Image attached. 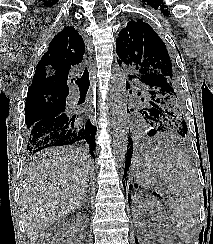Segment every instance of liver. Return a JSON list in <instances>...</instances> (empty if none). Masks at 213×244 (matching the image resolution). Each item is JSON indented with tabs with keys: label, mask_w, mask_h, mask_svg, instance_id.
<instances>
[{
	"label": "liver",
	"mask_w": 213,
	"mask_h": 244,
	"mask_svg": "<svg viewBox=\"0 0 213 244\" xmlns=\"http://www.w3.org/2000/svg\"><path fill=\"white\" fill-rule=\"evenodd\" d=\"M90 171L88 156L73 147H51L34 155L20 189L29 244L56 221L79 208Z\"/></svg>",
	"instance_id": "liver-1"
}]
</instances>
